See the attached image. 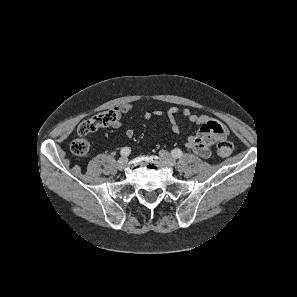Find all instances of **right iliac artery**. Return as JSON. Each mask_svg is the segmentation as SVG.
<instances>
[{"instance_id": "1", "label": "right iliac artery", "mask_w": 297, "mask_h": 297, "mask_svg": "<svg viewBox=\"0 0 297 297\" xmlns=\"http://www.w3.org/2000/svg\"><path fill=\"white\" fill-rule=\"evenodd\" d=\"M131 153V149L129 147H123L120 151V154L124 157L128 156Z\"/></svg>"}]
</instances>
